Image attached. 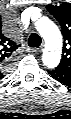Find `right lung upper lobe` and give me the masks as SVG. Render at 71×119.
I'll use <instances>...</instances> for the list:
<instances>
[{"mask_svg": "<svg viewBox=\"0 0 71 119\" xmlns=\"http://www.w3.org/2000/svg\"><path fill=\"white\" fill-rule=\"evenodd\" d=\"M2 58L8 60L11 54L20 46L14 41L6 38L5 36L0 37Z\"/></svg>", "mask_w": 71, "mask_h": 119, "instance_id": "right-lung-upper-lobe-1", "label": "right lung upper lobe"}]
</instances>
